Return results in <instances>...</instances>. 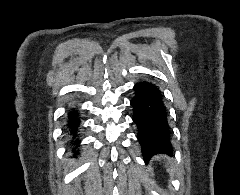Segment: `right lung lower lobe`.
<instances>
[{
    "label": "right lung lower lobe",
    "instance_id": "98d812e1",
    "mask_svg": "<svg viewBox=\"0 0 240 195\" xmlns=\"http://www.w3.org/2000/svg\"><path fill=\"white\" fill-rule=\"evenodd\" d=\"M80 125V118H79V113L78 110H71L68 112V118H67V133H70L73 135V139L78 137L77 131ZM79 141L78 139L74 140V144H77Z\"/></svg>",
    "mask_w": 240,
    "mask_h": 195
}]
</instances>
